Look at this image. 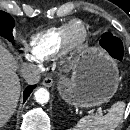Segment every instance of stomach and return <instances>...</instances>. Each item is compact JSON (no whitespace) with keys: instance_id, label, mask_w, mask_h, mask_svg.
I'll return each mask as SVG.
<instances>
[{"instance_id":"0dacf381","label":"stomach","mask_w":130,"mask_h":130,"mask_svg":"<svg viewBox=\"0 0 130 130\" xmlns=\"http://www.w3.org/2000/svg\"><path fill=\"white\" fill-rule=\"evenodd\" d=\"M118 68L98 48L82 52L73 68L71 79L63 80L58 91L75 107H93L108 102L118 88Z\"/></svg>"}]
</instances>
